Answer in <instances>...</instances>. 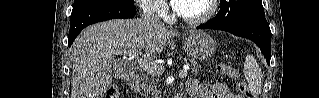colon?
I'll return each mask as SVG.
<instances>
[{
    "instance_id": "colon-1",
    "label": "colon",
    "mask_w": 319,
    "mask_h": 98,
    "mask_svg": "<svg viewBox=\"0 0 319 98\" xmlns=\"http://www.w3.org/2000/svg\"><path fill=\"white\" fill-rule=\"evenodd\" d=\"M217 70L224 76L236 78V71L227 65H218ZM236 88L243 98H253L254 95L250 91L248 85L244 81L237 82ZM119 88L116 85L109 86L104 93V98H117Z\"/></svg>"
}]
</instances>
